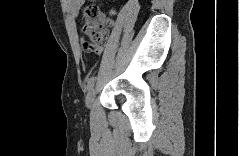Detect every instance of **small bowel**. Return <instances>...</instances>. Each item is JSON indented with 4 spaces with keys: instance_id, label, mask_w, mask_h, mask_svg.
I'll return each mask as SVG.
<instances>
[{
    "instance_id": "small-bowel-1",
    "label": "small bowel",
    "mask_w": 239,
    "mask_h": 156,
    "mask_svg": "<svg viewBox=\"0 0 239 156\" xmlns=\"http://www.w3.org/2000/svg\"><path fill=\"white\" fill-rule=\"evenodd\" d=\"M83 1L82 0H73L70 2L69 8L73 13H77L78 9L81 7ZM85 41H82V45L84 46ZM84 48V47H83ZM102 49L101 46H99L95 51L93 52H99Z\"/></svg>"
}]
</instances>
